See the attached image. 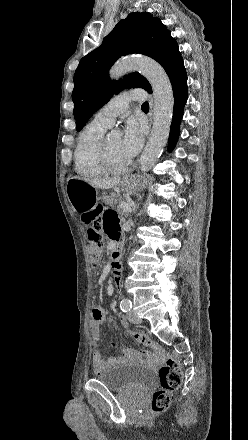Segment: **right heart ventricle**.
Returning <instances> with one entry per match:
<instances>
[{"instance_id": "obj_1", "label": "right heart ventricle", "mask_w": 248, "mask_h": 440, "mask_svg": "<svg viewBox=\"0 0 248 440\" xmlns=\"http://www.w3.org/2000/svg\"><path fill=\"white\" fill-rule=\"evenodd\" d=\"M107 127L93 120L81 132L74 152L75 170L85 177H100L106 172L99 162V147Z\"/></svg>"}]
</instances>
